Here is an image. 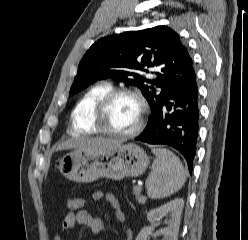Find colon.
Returning a JSON list of instances; mask_svg holds the SVG:
<instances>
[{"mask_svg":"<svg viewBox=\"0 0 248 240\" xmlns=\"http://www.w3.org/2000/svg\"><path fill=\"white\" fill-rule=\"evenodd\" d=\"M85 200L81 197L70 198L66 203V208L69 213H75L83 209Z\"/></svg>","mask_w":248,"mask_h":240,"instance_id":"obj_1","label":"colon"}]
</instances>
